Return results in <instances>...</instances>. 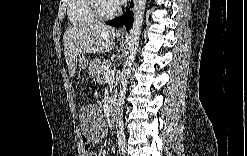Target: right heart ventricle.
<instances>
[{
  "instance_id": "1",
  "label": "right heart ventricle",
  "mask_w": 247,
  "mask_h": 156,
  "mask_svg": "<svg viewBox=\"0 0 247 156\" xmlns=\"http://www.w3.org/2000/svg\"><path fill=\"white\" fill-rule=\"evenodd\" d=\"M89 0H71L68 2V19L73 26L90 25L97 20L90 11Z\"/></svg>"
}]
</instances>
